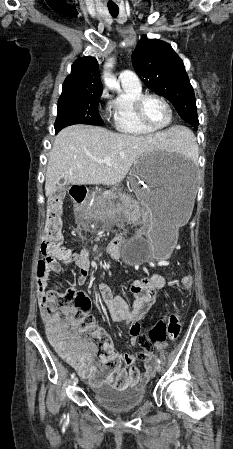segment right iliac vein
I'll use <instances>...</instances> for the list:
<instances>
[{"mask_svg":"<svg viewBox=\"0 0 233 449\" xmlns=\"http://www.w3.org/2000/svg\"><path fill=\"white\" fill-rule=\"evenodd\" d=\"M73 384H74V385H77V384H78V378H77V377H75V378L73 379Z\"/></svg>","mask_w":233,"mask_h":449,"instance_id":"right-iliac-vein-1","label":"right iliac vein"}]
</instances>
